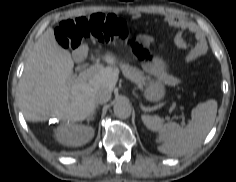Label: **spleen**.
I'll return each instance as SVG.
<instances>
[{"mask_svg": "<svg viewBox=\"0 0 236 182\" xmlns=\"http://www.w3.org/2000/svg\"><path fill=\"white\" fill-rule=\"evenodd\" d=\"M217 102L208 100L195 107L192 119L186 127L175 122L164 124L159 116L143 115L144 125L151 131L158 132L157 142L162 143L158 149L169 155H183L199 147L214 123Z\"/></svg>", "mask_w": 236, "mask_h": 182, "instance_id": "spleen-1", "label": "spleen"}]
</instances>
